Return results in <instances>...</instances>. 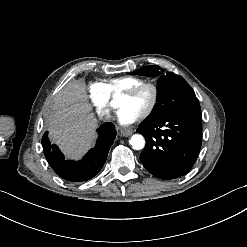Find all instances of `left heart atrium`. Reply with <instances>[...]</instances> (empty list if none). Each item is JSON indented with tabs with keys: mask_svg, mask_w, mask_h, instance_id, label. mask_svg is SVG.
<instances>
[{
	"mask_svg": "<svg viewBox=\"0 0 247 247\" xmlns=\"http://www.w3.org/2000/svg\"><path fill=\"white\" fill-rule=\"evenodd\" d=\"M142 115V111L133 106L127 105L119 114H118V122L122 125H130L139 120Z\"/></svg>",
	"mask_w": 247,
	"mask_h": 247,
	"instance_id": "39dd6f15",
	"label": "left heart atrium"
}]
</instances>
